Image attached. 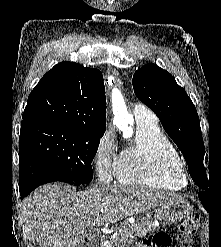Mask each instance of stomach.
Here are the masks:
<instances>
[{"mask_svg":"<svg viewBox=\"0 0 221 247\" xmlns=\"http://www.w3.org/2000/svg\"><path fill=\"white\" fill-rule=\"evenodd\" d=\"M191 206L182 197H176L159 206L155 218L163 224H173L184 219L190 212Z\"/></svg>","mask_w":221,"mask_h":247,"instance_id":"0dacf381","label":"stomach"}]
</instances>
